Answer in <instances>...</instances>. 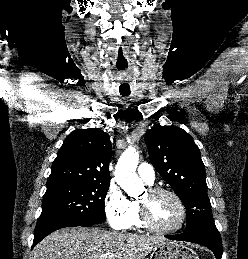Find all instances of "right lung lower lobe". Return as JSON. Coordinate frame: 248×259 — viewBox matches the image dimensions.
Returning <instances> with one entry per match:
<instances>
[{"label":"right lung lower lobe","instance_id":"1","mask_svg":"<svg viewBox=\"0 0 248 259\" xmlns=\"http://www.w3.org/2000/svg\"><path fill=\"white\" fill-rule=\"evenodd\" d=\"M74 226L91 227L93 225L82 224L74 221L61 220V219H50V220L38 221L35 228V236H34L32 248L50 233L60 228L74 227Z\"/></svg>","mask_w":248,"mask_h":259}]
</instances>
